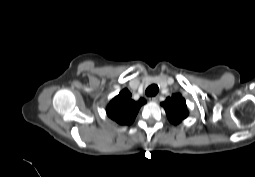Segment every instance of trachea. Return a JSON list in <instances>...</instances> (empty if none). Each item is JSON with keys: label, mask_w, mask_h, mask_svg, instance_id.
I'll return each instance as SVG.
<instances>
[{"label": "trachea", "mask_w": 255, "mask_h": 177, "mask_svg": "<svg viewBox=\"0 0 255 177\" xmlns=\"http://www.w3.org/2000/svg\"><path fill=\"white\" fill-rule=\"evenodd\" d=\"M158 91H159L158 86L156 84H153L146 89V95L149 97H153L157 95Z\"/></svg>", "instance_id": "obj_1"}]
</instances>
